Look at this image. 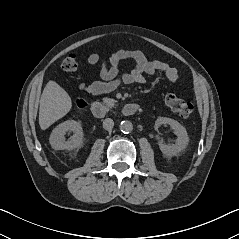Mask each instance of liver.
<instances>
[{"mask_svg": "<svg viewBox=\"0 0 239 239\" xmlns=\"http://www.w3.org/2000/svg\"><path fill=\"white\" fill-rule=\"evenodd\" d=\"M72 107L68 93L55 81L50 80L41 95L39 125L42 130L64 117Z\"/></svg>", "mask_w": 239, "mask_h": 239, "instance_id": "1", "label": "liver"}]
</instances>
